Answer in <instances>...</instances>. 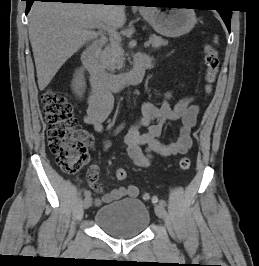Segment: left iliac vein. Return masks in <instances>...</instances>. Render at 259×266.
<instances>
[{
	"label": "left iliac vein",
	"instance_id": "left-iliac-vein-1",
	"mask_svg": "<svg viewBox=\"0 0 259 266\" xmlns=\"http://www.w3.org/2000/svg\"><path fill=\"white\" fill-rule=\"evenodd\" d=\"M155 213L156 215L161 218V219H166L167 213H166V209L164 206L162 205H156L155 206Z\"/></svg>",
	"mask_w": 259,
	"mask_h": 266
}]
</instances>
